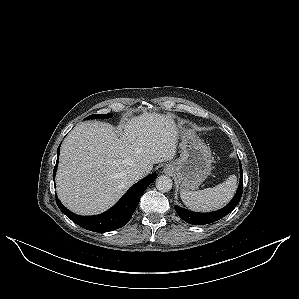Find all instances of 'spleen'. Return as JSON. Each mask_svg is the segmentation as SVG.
<instances>
[{
	"mask_svg": "<svg viewBox=\"0 0 299 299\" xmlns=\"http://www.w3.org/2000/svg\"><path fill=\"white\" fill-rule=\"evenodd\" d=\"M237 186L235 175L212 188L198 191L181 190L183 203L192 211L206 212L217 210L226 205L233 197Z\"/></svg>",
	"mask_w": 299,
	"mask_h": 299,
	"instance_id": "3e777b00",
	"label": "spleen"
}]
</instances>
